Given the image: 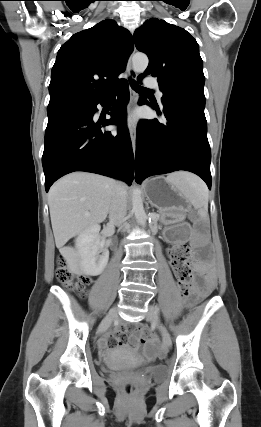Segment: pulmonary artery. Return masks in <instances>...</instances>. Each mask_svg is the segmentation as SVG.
I'll use <instances>...</instances> for the list:
<instances>
[{
  "label": "pulmonary artery",
  "mask_w": 261,
  "mask_h": 427,
  "mask_svg": "<svg viewBox=\"0 0 261 427\" xmlns=\"http://www.w3.org/2000/svg\"><path fill=\"white\" fill-rule=\"evenodd\" d=\"M144 85H145L146 87H148V88H153V89H155V90H156L157 97H158V99L161 101L162 96H163V93H162V92H161V90L159 89L158 82H157L155 79H153V78H147V79H145V81H144Z\"/></svg>",
  "instance_id": "1"
}]
</instances>
